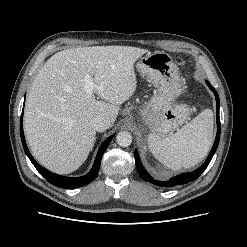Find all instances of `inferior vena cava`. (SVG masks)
I'll list each match as a JSON object with an SVG mask.
<instances>
[{
    "label": "inferior vena cava",
    "mask_w": 247,
    "mask_h": 247,
    "mask_svg": "<svg viewBox=\"0 0 247 247\" xmlns=\"http://www.w3.org/2000/svg\"><path fill=\"white\" fill-rule=\"evenodd\" d=\"M91 126L97 132H104L109 128V122L105 117L96 116L93 118Z\"/></svg>",
    "instance_id": "obj_1"
}]
</instances>
